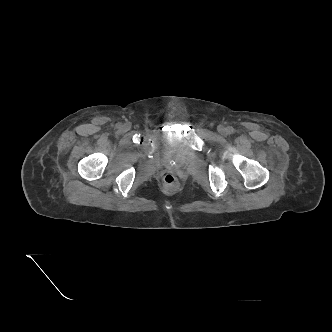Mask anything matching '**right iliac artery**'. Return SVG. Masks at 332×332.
Segmentation results:
<instances>
[{"label":"right iliac artery","mask_w":332,"mask_h":332,"mask_svg":"<svg viewBox=\"0 0 332 332\" xmlns=\"http://www.w3.org/2000/svg\"><path fill=\"white\" fill-rule=\"evenodd\" d=\"M120 126H121V125H120V124H118V128H120Z\"/></svg>","instance_id":"obj_1"}]
</instances>
